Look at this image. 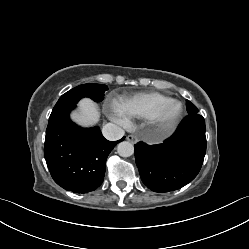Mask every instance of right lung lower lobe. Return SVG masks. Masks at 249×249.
Listing matches in <instances>:
<instances>
[{"instance_id": "98d812e1", "label": "right lung lower lobe", "mask_w": 249, "mask_h": 249, "mask_svg": "<svg viewBox=\"0 0 249 249\" xmlns=\"http://www.w3.org/2000/svg\"><path fill=\"white\" fill-rule=\"evenodd\" d=\"M74 108L67 107L50 115L44 156L59 186L87 193L102 184L107 157L119 141L106 140L98 127L82 128L73 123L69 113Z\"/></svg>"}]
</instances>
